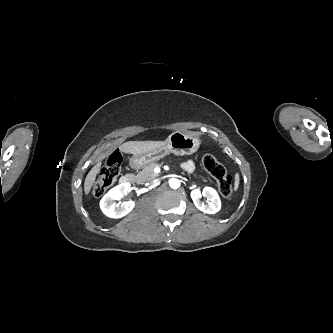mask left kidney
I'll return each mask as SVG.
<instances>
[{"mask_svg":"<svg viewBox=\"0 0 333 333\" xmlns=\"http://www.w3.org/2000/svg\"><path fill=\"white\" fill-rule=\"evenodd\" d=\"M201 196L207 199V204L200 201ZM194 205L200 211L207 214H215L221 209V201L217 191L211 187H205L202 191L194 189L191 192Z\"/></svg>","mask_w":333,"mask_h":333,"instance_id":"obj_1","label":"left kidney"}]
</instances>
